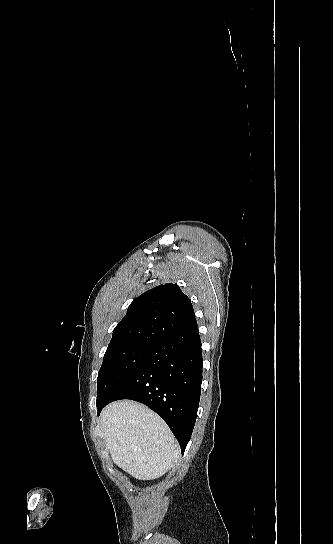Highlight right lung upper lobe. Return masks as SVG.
<instances>
[{
	"label": "right lung upper lobe",
	"mask_w": 333,
	"mask_h": 544,
	"mask_svg": "<svg viewBox=\"0 0 333 544\" xmlns=\"http://www.w3.org/2000/svg\"><path fill=\"white\" fill-rule=\"evenodd\" d=\"M197 326L190 299L176 284L159 285L136 298L113 330L107 350L153 345Z\"/></svg>",
	"instance_id": "obj_1"
}]
</instances>
